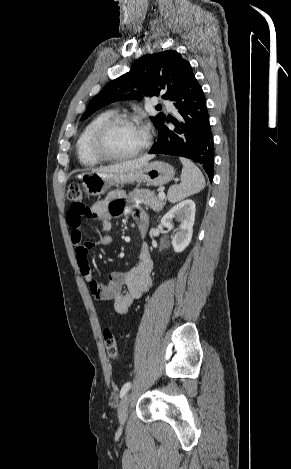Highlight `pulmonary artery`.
Listing matches in <instances>:
<instances>
[{
	"label": "pulmonary artery",
	"mask_w": 291,
	"mask_h": 469,
	"mask_svg": "<svg viewBox=\"0 0 291 469\" xmlns=\"http://www.w3.org/2000/svg\"><path fill=\"white\" fill-rule=\"evenodd\" d=\"M161 103L165 105L169 110L173 111L174 110V105L172 104L171 101L169 100H161Z\"/></svg>",
	"instance_id": "e3ab8cb5"
}]
</instances>
